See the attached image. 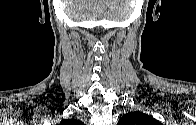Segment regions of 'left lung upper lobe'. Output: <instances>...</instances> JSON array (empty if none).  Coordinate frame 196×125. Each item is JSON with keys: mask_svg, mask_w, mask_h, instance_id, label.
<instances>
[{"mask_svg": "<svg viewBox=\"0 0 196 125\" xmlns=\"http://www.w3.org/2000/svg\"><path fill=\"white\" fill-rule=\"evenodd\" d=\"M118 125H159V122L147 114L135 111L125 114Z\"/></svg>", "mask_w": 196, "mask_h": 125, "instance_id": "obj_1", "label": "left lung upper lobe"}]
</instances>
